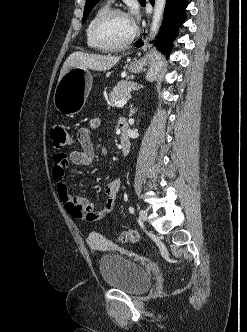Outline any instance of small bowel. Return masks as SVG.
<instances>
[{"label":"small bowel","mask_w":247,"mask_h":332,"mask_svg":"<svg viewBox=\"0 0 247 332\" xmlns=\"http://www.w3.org/2000/svg\"><path fill=\"white\" fill-rule=\"evenodd\" d=\"M99 125V118H91L87 125L78 131L77 140L79 148L71 150L68 155L65 153H56L53 157L54 166L52 176L59 197L68 214L82 221H95L107 214L114 205L121 185L119 179H114L106 186V201L101 209L95 208L90 198L77 196L70 192L69 183L65 178V170L70 162L75 165L88 167L95 165V153L91 142V134ZM103 152L106 153V150L103 149Z\"/></svg>","instance_id":"1"}]
</instances>
